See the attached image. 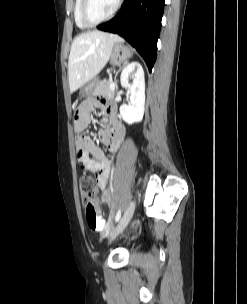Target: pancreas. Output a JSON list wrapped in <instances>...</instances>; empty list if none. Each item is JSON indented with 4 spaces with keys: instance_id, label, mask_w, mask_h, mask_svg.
I'll return each mask as SVG.
<instances>
[{
    "instance_id": "1",
    "label": "pancreas",
    "mask_w": 247,
    "mask_h": 304,
    "mask_svg": "<svg viewBox=\"0 0 247 304\" xmlns=\"http://www.w3.org/2000/svg\"><path fill=\"white\" fill-rule=\"evenodd\" d=\"M111 83L110 80L98 81L93 89L92 95L113 98L117 88L115 86L114 89L111 90Z\"/></svg>"
}]
</instances>
